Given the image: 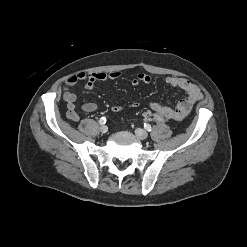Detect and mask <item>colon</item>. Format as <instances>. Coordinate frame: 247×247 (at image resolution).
I'll return each instance as SVG.
<instances>
[{"label": "colon", "mask_w": 247, "mask_h": 247, "mask_svg": "<svg viewBox=\"0 0 247 247\" xmlns=\"http://www.w3.org/2000/svg\"><path fill=\"white\" fill-rule=\"evenodd\" d=\"M145 118L150 120V121H153L155 123H159V124L165 123L166 120H167V118L164 115H162V114H160L158 112H154V111L147 112L145 114Z\"/></svg>", "instance_id": "5ec220e1"}]
</instances>
